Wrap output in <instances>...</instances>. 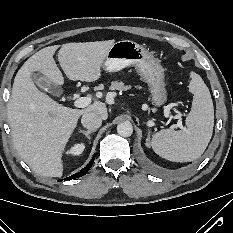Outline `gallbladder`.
I'll return each mask as SVG.
<instances>
[{"mask_svg": "<svg viewBox=\"0 0 233 233\" xmlns=\"http://www.w3.org/2000/svg\"><path fill=\"white\" fill-rule=\"evenodd\" d=\"M32 80L36 85L42 89L49 90L53 95H60L62 93L61 88L54 86L47 78L42 76L40 73L33 72L31 74Z\"/></svg>", "mask_w": 233, "mask_h": 233, "instance_id": "gallbladder-1", "label": "gallbladder"}]
</instances>
